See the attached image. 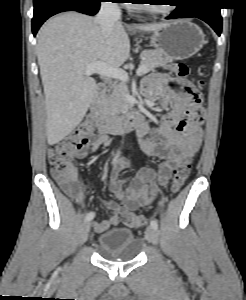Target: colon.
<instances>
[{
  "instance_id": "colon-1",
  "label": "colon",
  "mask_w": 246,
  "mask_h": 300,
  "mask_svg": "<svg viewBox=\"0 0 246 300\" xmlns=\"http://www.w3.org/2000/svg\"><path fill=\"white\" fill-rule=\"evenodd\" d=\"M172 71L182 80L187 79L189 68L185 63L177 62L171 64ZM188 83V93L193 102V114L200 117L202 114L201 94L199 88L203 85L202 80H197L195 83ZM94 133V124L91 119L84 120L67 138L50 144L48 147V163L53 174L72 177L76 171L72 161L80 153H82L88 143L89 138ZM191 172L190 163L180 164L174 172L173 179L170 185V191L177 193ZM122 221L126 226L132 228H140L146 224L143 216L135 213H125L122 215Z\"/></svg>"
}]
</instances>
